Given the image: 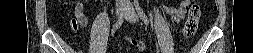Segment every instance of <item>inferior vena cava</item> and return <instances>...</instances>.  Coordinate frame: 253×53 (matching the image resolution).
<instances>
[{
    "mask_svg": "<svg viewBox=\"0 0 253 53\" xmlns=\"http://www.w3.org/2000/svg\"><path fill=\"white\" fill-rule=\"evenodd\" d=\"M124 2H129V0H123Z\"/></svg>",
    "mask_w": 253,
    "mask_h": 53,
    "instance_id": "602c4592",
    "label": "inferior vena cava"
}]
</instances>
